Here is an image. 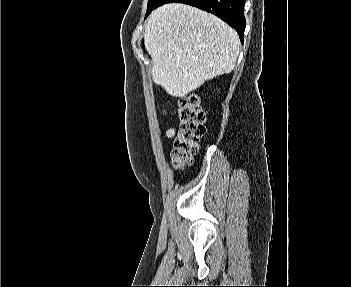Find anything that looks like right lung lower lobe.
<instances>
[{
    "label": "right lung lower lobe",
    "instance_id": "1",
    "mask_svg": "<svg viewBox=\"0 0 351 287\" xmlns=\"http://www.w3.org/2000/svg\"><path fill=\"white\" fill-rule=\"evenodd\" d=\"M184 3L210 12L232 26L243 42L245 0H160L155 8L166 3Z\"/></svg>",
    "mask_w": 351,
    "mask_h": 287
}]
</instances>
